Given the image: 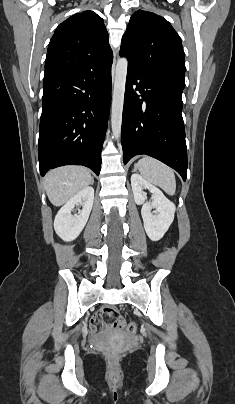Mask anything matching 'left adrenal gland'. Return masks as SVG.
<instances>
[{
  "label": "left adrenal gland",
  "mask_w": 235,
  "mask_h": 404,
  "mask_svg": "<svg viewBox=\"0 0 235 404\" xmlns=\"http://www.w3.org/2000/svg\"><path fill=\"white\" fill-rule=\"evenodd\" d=\"M136 171V168L133 169V172Z\"/></svg>",
  "instance_id": "1"
}]
</instances>
